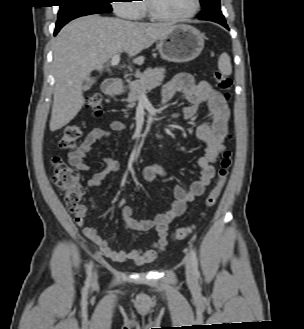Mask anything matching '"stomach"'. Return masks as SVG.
I'll use <instances>...</instances> for the list:
<instances>
[{"label":"stomach","mask_w":304,"mask_h":329,"mask_svg":"<svg viewBox=\"0 0 304 329\" xmlns=\"http://www.w3.org/2000/svg\"><path fill=\"white\" fill-rule=\"evenodd\" d=\"M204 48V36L196 28L180 24L174 25L158 42L161 56L170 62L185 63L194 60ZM108 93H119L121 88L112 85Z\"/></svg>","instance_id":"0dacf381"}]
</instances>
